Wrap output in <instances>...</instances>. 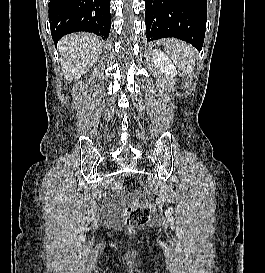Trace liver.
<instances>
[{"mask_svg":"<svg viewBox=\"0 0 265 273\" xmlns=\"http://www.w3.org/2000/svg\"><path fill=\"white\" fill-rule=\"evenodd\" d=\"M61 64L66 79H75L85 74L101 53L100 38L88 33H75L59 41Z\"/></svg>","mask_w":265,"mask_h":273,"instance_id":"6515ba94","label":"liver"}]
</instances>
